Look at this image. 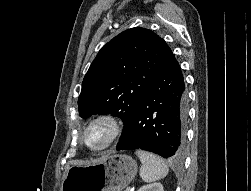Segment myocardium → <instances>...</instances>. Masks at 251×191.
I'll list each match as a JSON object with an SVG mask.
<instances>
[{
    "label": "myocardium",
    "mask_w": 251,
    "mask_h": 191,
    "mask_svg": "<svg viewBox=\"0 0 251 191\" xmlns=\"http://www.w3.org/2000/svg\"><path fill=\"white\" fill-rule=\"evenodd\" d=\"M96 122H103L105 123L108 128H109V140L107 142V144L100 150L94 151L91 150L89 148H87L82 141V134L84 133V131L91 126L92 124L96 123ZM122 132V127H121V123L119 121V119L112 113L109 112H100L97 113L93 116H91L82 126L81 131L79 133V143L81 148H83L84 150L95 154V155H102L104 153H106L119 139L120 135Z\"/></svg>",
    "instance_id": "myocardium-1"
}]
</instances>
